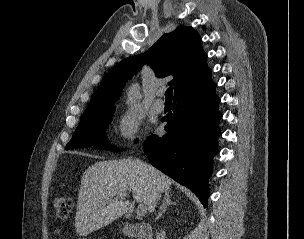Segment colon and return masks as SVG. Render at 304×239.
Listing matches in <instances>:
<instances>
[{"label":"colon","mask_w":304,"mask_h":239,"mask_svg":"<svg viewBox=\"0 0 304 239\" xmlns=\"http://www.w3.org/2000/svg\"><path fill=\"white\" fill-rule=\"evenodd\" d=\"M53 206L60 218H66L73 210V200L70 197L57 196L53 199Z\"/></svg>","instance_id":"1"}]
</instances>
